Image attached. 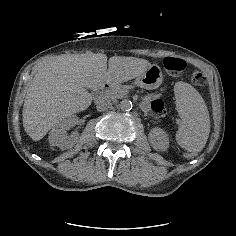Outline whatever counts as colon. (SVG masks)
Instances as JSON below:
<instances>
[{"label": "colon", "mask_w": 236, "mask_h": 236, "mask_svg": "<svg viewBox=\"0 0 236 236\" xmlns=\"http://www.w3.org/2000/svg\"><path fill=\"white\" fill-rule=\"evenodd\" d=\"M162 64L164 69L169 73H180L186 68L185 60L179 57H165L162 60ZM190 82L195 86H202L206 83V78L202 71L194 70L190 75ZM150 108L152 113L157 117H164L166 114L165 103L159 97L153 98Z\"/></svg>", "instance_id": "colon-1"}]
</instances>
